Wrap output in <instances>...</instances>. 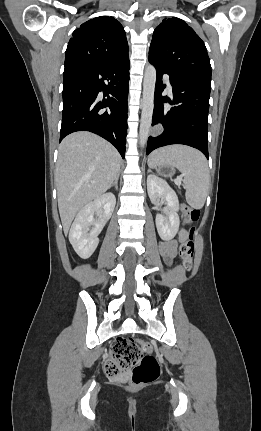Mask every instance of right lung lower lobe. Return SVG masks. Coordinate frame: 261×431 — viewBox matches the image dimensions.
I'll return each instance as SVG.
<instances>
[{
	"instance_id": "98d812e1",
	"label": "right lung lower lobe",
	"mask_w": 261,
	"mask_h": 431,
	"mask_svg": "<svg viewBox=\"0 0 261 431\" xmlns=\"http://www.w3.org/2000/svg\"><path fill=\"white\" fill-rule=\"evenodd\" d=\"M129 68V59L65 67L60 141L72 132L90 131L112 143L124 158Z\"/></svg>"
}]
</instances>
